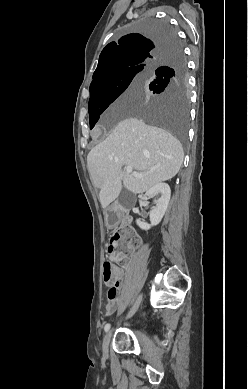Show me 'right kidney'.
<instances>
[{
    "instance_id": "1",
    "label": "right kidney",
    "mask_w": 248,
    "mask_h": 389,
    "mask_svg": "<svg viewBox=\"0 0 248 389\" xmlns=\"http://www.w3.org/2000/svg\"><path fill=\"white\" fill-rule=\"evenodd\" d=\"M155 195H159L160 197L157 201H155L156 206L150 211L151 224L142 222L139 219L136 220L137 225L142 230H149L152 226H156L161 222L170 201L171 190L169 185L166 183H158L145 193L146 198H150Z\"/></svg>"
}]
</instances>
